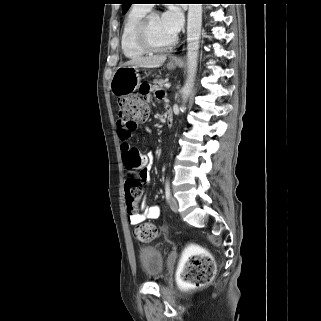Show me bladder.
Listing matches in <instances>:
<instances>
[{
	"label": "bladder",
	"mask_w": 321,
	"mask_h": 321,
	"mask_svg": "<svg viewBox=\"0 0 321 321\" xmlns=\"http://www.w3.org/2000/svg\"><path fill=\"white\" fill-rule=\"evenodd\" d=\"M139 262L143 273L149 279H159L163 274V257L153 246L146 245L139 249Z\"/></svg>",
	"instance_id": "1"
}]
</instances>
